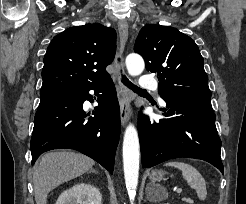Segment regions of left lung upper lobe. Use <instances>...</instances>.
<instances>
[{
    "instance_id": "left-lung-upper-lobe-1",
    "label": "left lung upper lobe",
    "mask_w": 246,
    "mask_h": 204,
    "mask_svg": "<svg viewBox=\"0 0 246 204\" xmlns=\"http://www.w3.org/2000/svg\"><path fill=\"white\" fill-rule=\"evenodd\" d=\"M134 51L145 60L147 71L156 73L159 94L211 96L204 60L187 35L170 26L147 25L136 39Z\"/></svg>"
}]
</instances>
